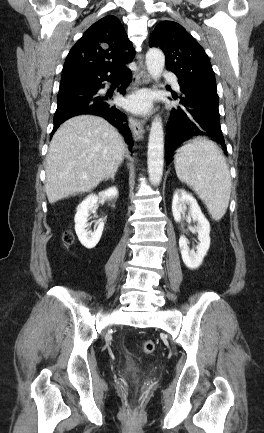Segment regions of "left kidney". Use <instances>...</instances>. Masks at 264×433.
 Segmentation results:
<instances>
[{
    "mask_svg": "<svg viewBox=\"0 0 264 433\" xmlns=\"http://www.w3.org/2000/svg\"><path fill=\"white\" fill-rule=\"evenodd\" d=\"M187 206L189 215L197 223L196 231L198 233L199 244L196 251L188 247V241L185 236L179 239V247L184 264L187 268L195 270L199 268L210 247V224L202 213L196 199L183 189L175 191L172 200V213L174 220L180 222L184 216Z\"/></svg>",
    "mask_w": 264,
    "mask_h": 433,
    "instance_id": "5707ae66",
    "label": "left kidney"
}]
</instances>
